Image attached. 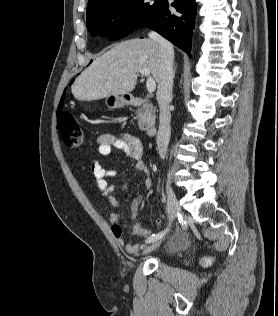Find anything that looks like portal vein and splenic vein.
<instances>
[{
	"label": "portal vein and splenic vein",
	"mask_w": 278,
	"mask_h": 316,
	"mask_svg": "<svg viewBox=\"0 0 278 316\" xmlns=\"http://www.w3.org/2000/svg\"><path fill=\"white\" fill-rule=\"evenodd\" d=\"M140 73L147 77L146 87L149 93H152L156 89V83L154 79L150 76V70L149 69H141Z\"/></svg>",
	"instance_id": "obj_1"
}]
</instances>
